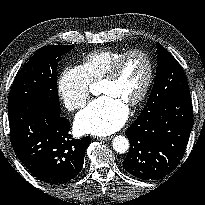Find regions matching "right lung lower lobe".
I'll return each mask as SVG.
<instances>
[{"label": "right lung lower lobe", "mask_w": 205, "mask_h": 205, "mask_svg": "<svg viewBox=\"0 0 205 205\" xmlns=\"http://www.w3.org/2000/svg\"><path fill=\"white\" fill-rule=\"evenodd\" d=\"M11 143L18 158L38 180L60 185L82 170L89 136L72 140L61 113L29 101L8 104Z\"/></svg>", "instance_id": "98d812e1"}]
</instances>
